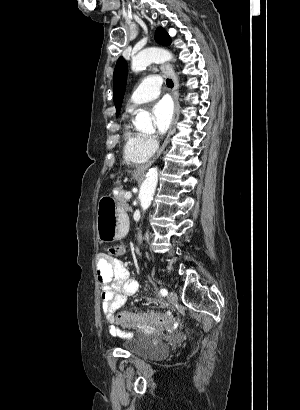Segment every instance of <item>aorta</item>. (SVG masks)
<instances>
[{"label":"aorta","mask_w":300,"mask_h":410,"mask_svg":"<svg viewBox=\"0 0 300 410\" xmlns=\"http://www.w3.org/2000/svg\"><path fill=\"white\" fill-rule=\"evenodd\" d=\"M173 59V55L167 50L161 48H148L140 51L133 57L131 68L134 72L144 70L151 63H163ZM138 131H149L152 128V121L147 111L139 110L133 122ZM158 183V168H151L145 180L143 181L140 191L139 199L143 211H146L153 199Z\"/></svg>","instance_id":"obj_1"}]
</instances>
